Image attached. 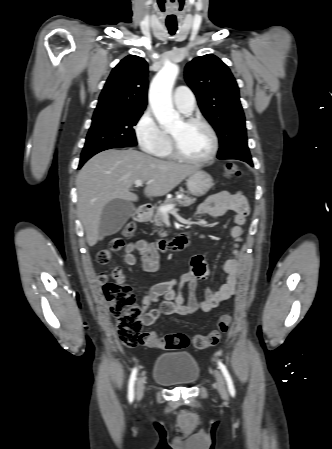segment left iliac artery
<instances>
[{"label": "left iliac artery", "instance_id": "1", "mask_svg": "<svg viewBox=\"0 0 332 449\" xmlns=\"http://www.w3.org/2000/svg\"><path fill=\"white\" fill-rule=\"evenodd\" d=\"M218 366H219L220 370L222 371V373H223V375L225 377V380H226V383H227L228 390H229L230 394L232 396H234L235 395V387H234L232 378H231V376H230L226 366L220 360H218Z\"/></svg>", "mask_w": 332, "mask_h": 449}]
</instances>
